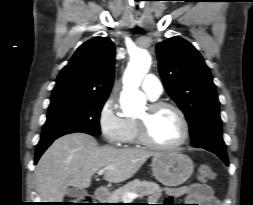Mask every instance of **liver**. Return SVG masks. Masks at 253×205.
Masks as SVG:
<instances>
[{"label": "liver", "instance_id": "1", "mask_svg": "<svg viewBox=\"0 0 253 205\" xmlns=\"http://www.w3.org/2000/svg\"><path fill=\"white\" fill-rule=\"evenodd\" d=\"M155 155L146 149H116L98 146L86 133H71L55 140L40 158L34 172L36 188L43 202H63L69 186L84 189L101 169L104 180L120 183L131 178Z\"/></svg>", "mask_w": 253, "mask_h": 205}]
</instances>
